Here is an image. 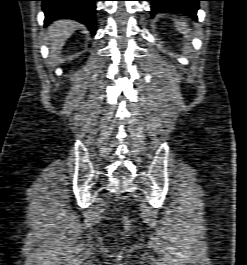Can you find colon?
I'll list each match as a JSON object with an SVG mask.
<instances>
[{"instance_id":"1","label":"colon","mask_w":247,"mask_h":265,"mask_svg":"<svg viewBox=\"0 0 247 265\" xmlns=\"http://www.w3.org/2000/svg\"><path fill=\"white\" fill-rule=\"evenodd\" d=\"M123 227L126 233L130 231V221L127 216L123 217Z\"/></svg>"}]
</instances>
